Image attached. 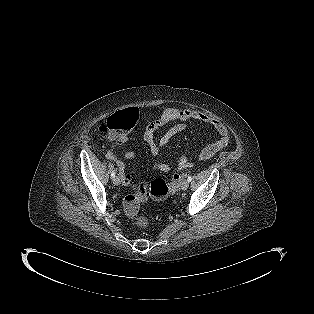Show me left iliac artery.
<instances>
[{
  "mask_svg": "<svg viewBox=\"0 0 314 314\" xmlns=\"http://www.w3.org/2000/svg\"><path fill=\"white\" fill-rule=\"evenodd\" d=\"M192 179H193V178H192V176L190 175V176H188V179H187V180H188V182H191Z\"/></svg>",
  "mask_w": 314,
  "mask_h": 314,
  "instance_id": "1",
  "label": "left iliac artery"
}]
</instances>
